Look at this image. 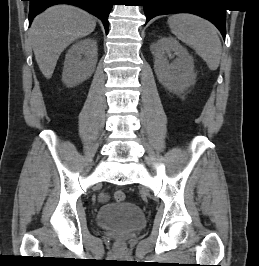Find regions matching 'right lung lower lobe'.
Here are the masks:
<instances>
[{
	"label": "right lung lower lobe",
	"mask_w": 259,
	"mask_h": 266,
	"mask_svg": "<svg viewBox=\"0 0 259 266\" xmlns=\"http://www.w3.org/2000/svg\"><path fill=\"white\" fill-rule=\"evenodd\" d=\"M30 1L29 23L33 18L49 6L55 4H72L78 6L102 20L106 33H108V16L114 0H28Z\"/></svg>",
	"instance_id": "1"
}]
</instances>
